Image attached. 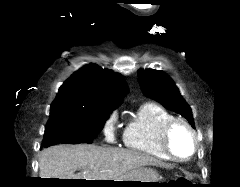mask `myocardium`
Listing matches in <instances>:
<instances>
[{
  "label": "myocardium",
  "instance_id": "f54148a6",
  "mask_svg": "<svg viewBox=\"0 0 240 187\" xmlns=\"http://www.w3.org/2000/svg\"><path fill=\"white\" fill-rule=\"evenodd\" d=\"M177 128L184 129L189 134L191 140L192 150L190 154L185 157L176 154L172 147V136ZM161 144L166 154L176 162H187L191 160L198 151V140L194 128L186 120L180 118H172L165 123L161 132Z\"/></svg>",
  "mask_w": 240,
  "mask_h": 187
}]
</instances>
